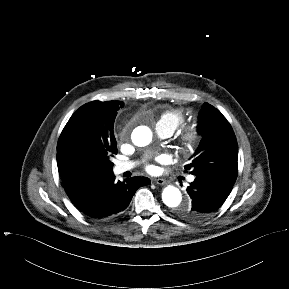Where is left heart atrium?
Returning <instances> with one entry per match:
<instances>
[{
	"instance_id": "obj_1",
	"label": "left heart atrium",
	"mask_w": 289,
	"mask_h": 289,
	"mask_svg": "<svg viewBox=\"0 0 289 289\" xmlns=\"http://www.w3.org/2000/svg\"><path fill=\"white\" fill-rule=\"evenodd\" d=\"M168 161H169V156L167 154H164V153L158 154L152 160H148L146 162V170L150 173L156 172L157 166L155 165L154 162L166 163Z\"/></svg>"
}]
</instances>
